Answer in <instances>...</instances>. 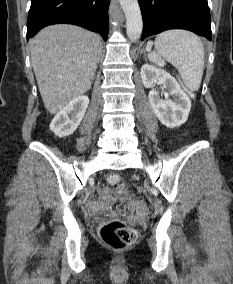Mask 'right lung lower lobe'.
I'll return each instance as SVG.
<instances>
[{"mask_svg": "<svg viewBox=\"0 0 233 284\" xmlns=\"http://www.w3.org/2000/svg\"><path fill=\"white\" fill-rule=\"evenodd\" d=\"M110 0H31L27 39L45 26L74 24L99 32L106 41Z\"/></svg>", "mask_w": 233, "mask_h": 284, "instance_id": "obj_1", "label": "right lung lower lobe"}]
</instances>
